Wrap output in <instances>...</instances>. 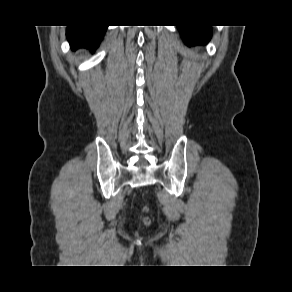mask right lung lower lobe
Wrapping results in <instances>:
<instances>
[{"label": "right lung lower lobe", "instance_id": "obj_1", "mask_svg": "<svg viewBox=\"0 0 292 292\" xmlns=\"http://www.w3.org/2000/svg\"><path fill=\"white\" fill-rule=\"evenodd\" d=\"M106 28L103 25L68 26L66 36L72 49L86 47L94 51L98 48Z\"/></svg>", "mask_w": 292, "mask_h": 292}]
</instances>
